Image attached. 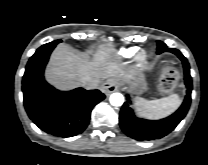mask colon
Segmentation results:
<instances>
[{
    "label": "colon",
    "instance_id": "1",
    "mask_svg": "<svg viewBox=\"0 0 208 165\" xmlns=\"http://www.w3.org/2000/svg\"><path fill=\"white\" fill-rule=\"evenodd\" d=\"M178 79H179V75L177 70L174 67L167 65L162 70L160 76V82H159L160 90L163 92L172 91L175 88Z\"/></svg>",
    "mask_w": 208,
    "mask_h": 165
}]
</instances>
